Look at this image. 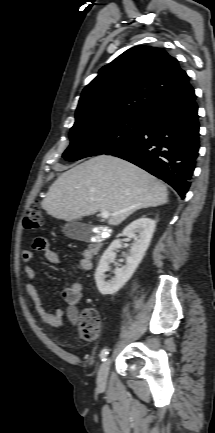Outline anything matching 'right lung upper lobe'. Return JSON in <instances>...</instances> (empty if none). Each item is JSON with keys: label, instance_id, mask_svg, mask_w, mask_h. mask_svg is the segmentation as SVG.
Returning a JSON list of instances; mask_svg holds the SVG:
<instances>
[{"label": "right lung upper lobe", "instance_id": "right-lung-upper-lobe-1", "mask_svg": "<svg viewBox=\"0 0 215 433\" xmlns=\"http://www.w3.org/2000/svg\"><path fill=\"white\" fill-rule=\"evenodd\" d=\"M188 84L186 72L164 49L130 48L102 67L98 76L84 88L75 124L143 115L154 104Z\"/></svg>", "mask_w": 215, "mask_h": 433}]
</instances>
